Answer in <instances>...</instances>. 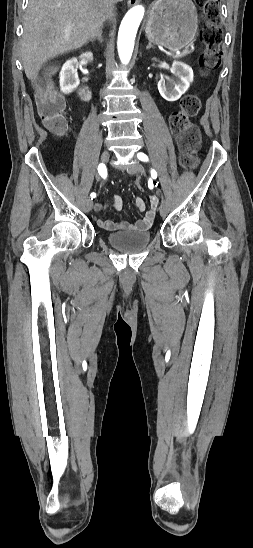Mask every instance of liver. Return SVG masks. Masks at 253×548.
<instances>
[{
    "mask_svg": "<svg viewBox=\"0 0 253 548\" xmlns=\"http://www.w3.org/2000/svg\"><path fill=\"white\" fill-rule=\"evenodd\" d=\"M105 19L104 0H29L21 40L27 78L36 79L47 60L96 37Z\"/></svg>",
    "mask_w": 253,
    "mask_h": 548,
    "instance_id": "6515ba94",
    "label": "liver"
}]
</instances>
